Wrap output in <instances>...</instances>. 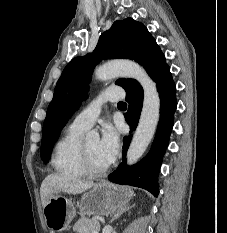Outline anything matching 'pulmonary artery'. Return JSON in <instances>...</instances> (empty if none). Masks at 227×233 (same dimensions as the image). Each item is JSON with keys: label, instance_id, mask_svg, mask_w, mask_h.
Listing matches in <instances>:
<instances>
[{"label": "pulmonary artery", "instance_id": "e3ab8cb5", "mask_svg": "<svg viewBox=\"0 0 227 233\" xmlns=\"http://www.w3.org/2000/svg\"><path fill=\"white\" fill-rule=\"evenodd\" d=\"M122 96L123 93L119 89L104 90L74 118L71 125L83 130L90 128L99 117L102 105L108 101L115 102Z\"/></svg>", "mask_w": 227, "mask_h": 233}]
</instances>
